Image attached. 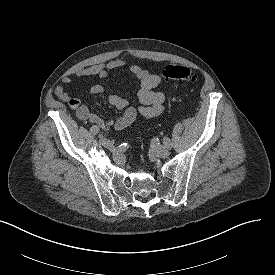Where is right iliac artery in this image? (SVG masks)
<instances>
[{
  "instance_id": "obj_1",
  "label": "right iliac artery",
  "mask_w": 275,
  "mask_h": 275,
  "mask_svg": "<svg viewBox=\"0 0 275 275\" xmlns=\"http://www.w3.org/2000/svg\"><path fill=\"white\" fill-rule=\"evenodd\" d=\"M90 132H91V134L96 135L99 133V128L94 125L90 128Z\"/></svg>"
}]
</instances>
